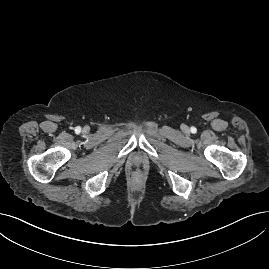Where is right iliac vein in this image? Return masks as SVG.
<instances>
[{
  "mask_svg": "<svg viewBox=\"0 0 269 269\" xmlns=\"http://www.w3.org/2000/svg\"><path fill=\"white\" fill-rule=\"evenodd\" d=\"M84 131L86 132L87 131V128H85Z\"/></svg>",
  "mask_w": 269,
  "mask_h": 269,
  "instance_id": "obj_1",
  "label": "right iliac vein"
}]
</instances>
